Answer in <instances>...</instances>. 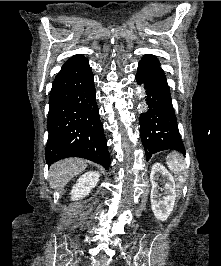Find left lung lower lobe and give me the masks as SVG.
<instances>
[{
	"mask_svg": "<svg viewBox=\"0 0 221 266\" xmlns=\"http://www.w3.org/2000/svg\"><path fill=\"white\" fill-rule=\"evenodd\" d=\"M136 81L145 89V101L149 108L139 119L146 160H149L152 154L168 149L180 151L185 155L170 89L162 68L140 61Z\"/></svg>",
	"mask_w": 221,
	"mask_h": 266,
	"instance_id": "0a47b994",
	"label": "left lung lower lobe"
}]
</instances>
